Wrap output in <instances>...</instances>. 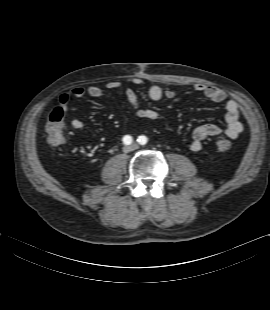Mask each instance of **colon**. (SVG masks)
<instances>
[{"label": "colon", "mask_w": 270, "mask_h": 310, "mask_svg": "<svg viewBox=\"0 0 270 310\" xmlns=\"http://www.w3.org/2000/svg\"><path fill=\"white\" fill-rule=\"evenodd\" d=\"M47 141L51 146H58L64 142V111L56 107L51 112L46 124ZM214 148L226 152L231 148V142L225 137H217L213 141Z\"/></svg>", "instance_id": "1"}]
</instances>
